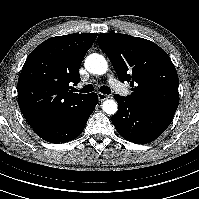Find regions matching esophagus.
Returning <instances> with one entry per match:
<instances>
[{
	"mask_svg": "<svg viewBox=\"0 0 199 199\" xmlns=\"http://www.w3.org/2000/svg\"><path fill=\"white\" fill-rule=\"evenodd\" d=\"M97 96H98L99 101H104V100H106V99L109 98L108 95L103 94V93H101V92H98V93H97Z\"/></svg>",
	"mask_w": 199,
	"mask_h": 199,
	"instance_id": "obj_1",
	"label": "esophagus"
}]
</instances>
